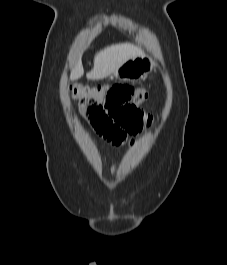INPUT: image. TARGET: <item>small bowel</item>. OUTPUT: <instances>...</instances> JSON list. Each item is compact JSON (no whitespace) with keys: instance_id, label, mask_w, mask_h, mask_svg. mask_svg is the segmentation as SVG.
<instances>
[{"instance_id":"1","label":"small bowel","mask_w":227,"mask_h":265,"mask_svg":"<svg viewBox=\"0 0 227 265\" xmlns=\"http://www.w3.org/2000/svg\"><path fill=\"white\" fill-rule=\"evenodd\" d=\"M80 111L97 135L107 143L113 146L133 143L129 140L130 134L116 126L111 116H107L103 102H80Z\"/></svg>"}]
</instances>
